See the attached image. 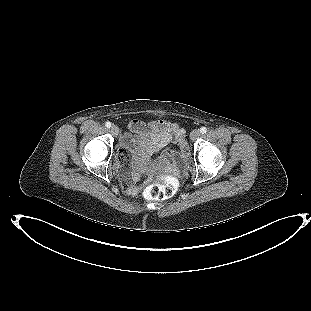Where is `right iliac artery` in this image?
<instances>
[{
  "label": "right iliac artery",
  "mask_w": 311,
  "mask_h": 311,
  "mask_svg": "<svg viewBox=\"0 0 311 311\" xmlns=\"http://www.w3.org/2000/svg\"><path fill=\"white\" fill-rule=\"evenodd\" d=\"M105 126H106L107 128H110V127H111V123L108 121V122L105 123Z\"/></svg>",
  "instance_id": "obj_1"
}]
</instances>
